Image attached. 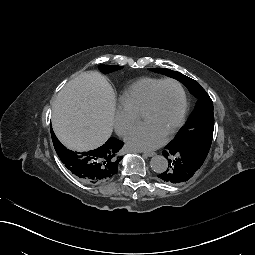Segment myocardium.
Wrapping results in <instances>:
<instances>
[{
    "mask_svg": "<svg viewBox=\"0 0 255 255\" xmlns=\"http://www.w3.org/2000/svg\"><path fill=\"white\" fill-rule=\"evenodd\" d=\"M166 83H172V84H175L179 90H180V93H181V97H182V105H181V111H180V115H179V118L174 126V128L171 130V132L167 135V137L164 139V142H169L171 141L174 136L176 135V133L178 132V130L182 127L183 123H184V119H185V115H186V109H187V97H186V92L184 90V87L182 86V84L177 81L176 79H173V78H166V79H163L161 80L160 82H158L150 91L149 93V96H148V99L147 101L145 102L143 108H142V111L140 113V118H142V116L144 114H146L150 109L151 107L153 106V103H154V99H155V96H156V93L158 91V89L166 84Z\"/></svg>",
    "mask_w": 255,
    "mask_h": 255,
    "instance_id": "obj_1",
    "label": "myocardium"
}]
</instances>
